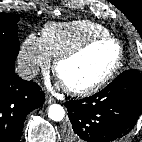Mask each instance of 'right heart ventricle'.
Returning a JSON list of instances; mask_svg holds the SVG:
<instances>
[{
  "label": "right heart ventricle",
  "instance_id": "e07e8e85",
  "mask_svg": "<svg viewBox=\"0 0 142 142\" xmlns=\"http://www.w3.org/2000/svg\"><path fill=\"white\" fill-rule=\"evenodd\" d=\"M109 34L108 29L98 23L77 20L46 24L40 39L50 57L57 58L91 38Z\"/></svg>",
  "mask_w": 142,
  "mask_h": 142
}]
</instances>
